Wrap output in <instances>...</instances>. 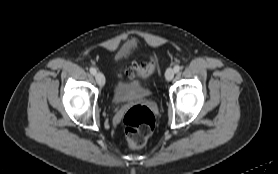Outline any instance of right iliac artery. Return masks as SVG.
<instances>
[{"label": "right iliac artery", "instance_id": "82829eb1", "mask_svg": "<svg viewBox=\"0 0 278 174\" xmlns=\"http://www.w3.org/2000/svg\"><path fill=\"white\" fill-rule=\"evenodd\" d=\"M96 69L94 68V67H91L90 68V73L92 74V75H95L96 74Z\"/></svg>", "mask_w": 278, "mask_h": 174}]
</instances>
